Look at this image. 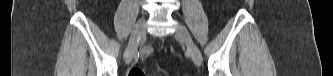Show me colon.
I'll use <instances>...</instances> for the list:
<instances>
[{"mask_svg":"<svg viewBox=\"0 0 333 76\" xmlns=\"http://www.w3.org/2000/svg\"><path fill=\"white\" fill-rule=\"evenodd\" d=\"M127 75L128 76H145V73L140 69L133 68V69L129 70Z\"/></svg>","mask_w":333,"mask_h":76,"instance_id":"obj_1","label":"colon"}]
</instances>
